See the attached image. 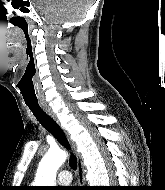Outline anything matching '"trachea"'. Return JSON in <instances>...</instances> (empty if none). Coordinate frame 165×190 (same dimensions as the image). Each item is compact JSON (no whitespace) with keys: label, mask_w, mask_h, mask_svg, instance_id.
I'll return each mask as SVG.
<instances>
[{"label":"trachea","mask_w":165,"mask_h":190,"mask_svg":"<svg viewBox=\"0 0 165 190\" xmlns=\"http://www.w3.org/2000/svg\"><path fill=\"white\" fill-rule=\"evenodd\" d=\"M28 108L31 110L36 119L40 122V124L50 132L57 141L67 149H70V145L67 141L65 133L60 128V126L40 107L38 103H26ZM69 165L73 170L77 169V159L71 153L69 159Z\"/></svg>","instance_id":"3493384b"}]
</instances>
